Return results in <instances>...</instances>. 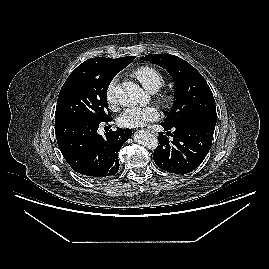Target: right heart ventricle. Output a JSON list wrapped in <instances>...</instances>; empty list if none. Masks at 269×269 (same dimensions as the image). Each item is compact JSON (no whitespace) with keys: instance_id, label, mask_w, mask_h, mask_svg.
Instances as JSON below:
<instances>
[{"instance_id":"e07e8e85","label":"right heart ventricle","mask_w":269,"mask_h":269,"mask_svg":"<svg viewBox=\"0 0 269 269\" xmlns=\"http://www.w3.org/2000/svg\"><path fill=\"white\" fill-rule=\"evenodd\" d=\"M134 74L144 88L150 92L158 91L164 84L162 74L152 66L139 67Z\"/></svg>"}]
</instances>
